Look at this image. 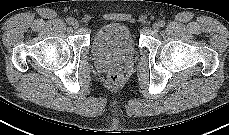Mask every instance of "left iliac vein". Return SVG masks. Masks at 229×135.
I'll list each match as a JSON object with an SVG mask.
<instances>
[{
    "instance_id": "4c4485c4",
    "label": "left iliac vein",
    "mask_w": 229,
    "mask_h": 135,
    "mask_svg": "<svg viewBox=\"0 0 229 135\" xmlns=\"http://www.w3.org/2000/svg\"><path fill=\"white\" fill-rule=\"evenodd\" d=\"M152 28H153L154 31L157 32L160 29V24L159 23H154Z\"/></svg>"
}]
</instances>
